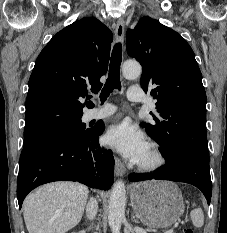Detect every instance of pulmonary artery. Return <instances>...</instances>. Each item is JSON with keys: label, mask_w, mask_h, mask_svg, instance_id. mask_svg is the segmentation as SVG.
<instances>
[{"label": "pulmonary artery", "mask_w": 227, "mask_h": 233, "mask_svg": "<svg viewBox=\"0 0 227 233\" xmlns=\"http://www.w3.org/2000/svg\"><path fill=\"white\" fill-rule=\"evenodd\" d=\"M127 98L130 101L140 102L142 96L136 88H130L127 93ZM116 112V107L111 104H104L101 108L95 109L91 112L92 119H105Z\"/></svg>", "instance_id": "pulmonary-artery-1"}]
</instances>
